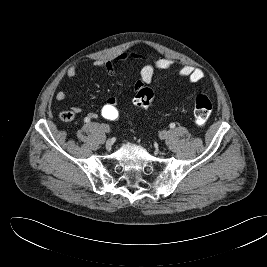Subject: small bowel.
<instances>
[{"label":"small bowel","mask_w":267,"mask_h":267,"mask_svg":"<svg viewBox=\"0 0 267 267\" xmlns=\"http://www.w3.org/2000/svg\"><path fill=\"white\" fill-rule=\"evenodd\" d=\"M131 57L138 59V58H142L143 56L134 53V54H131ZM127 58H128L127 54H121L117 56L116 58L112 60H108L106 62H101V61L96 62L95 65L98 68L102 69L106 75H113L115 73L117 63L120 61H124ZM171 65H172V60L168 57L158 58L144 65L140 70L139 80L137 81L135 85L136 89L146 84H149L152 81L153 76L157 71L167 70L171 67ZM179 74L181 77L187 78L191 83H196L200 81L204 76V73L200 68H197L191 65L183 66L180 69ZM67 75L70 78L76 77L77 75L76 66H71L67 71ZM55 98L57 101H64L67 98V95L65 92L59 91L56 93ZM109 99L115 102H118L116 97H110ZM74 110L76 112H79L80 108L75 107ZM89 117L96 118L97 114L95 112H90Z\"/></svg>","instance_id":"c3829d8e"}]
</instances>
